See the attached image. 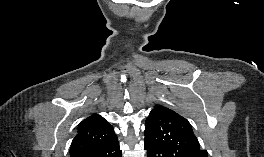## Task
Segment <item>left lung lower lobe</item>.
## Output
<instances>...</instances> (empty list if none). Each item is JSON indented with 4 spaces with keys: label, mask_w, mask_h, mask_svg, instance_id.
<instances>
[{
    "label": "left lung lower lobe",
    "mask_w": 264,
    "mask_h": 157,
    "mask_svg": "<svg viewBox=\"0 0 264 157\" xmlns=\"http://www.w3.org/2000/svg\"><path fill=\"white\" fill-rule=\"evenodd\" d=\"M145 150L147 151V157H162L160 151L155 147L145 144Z\"/></svg>",
    "instance_id": "0a47b994"
}]
</instances>
